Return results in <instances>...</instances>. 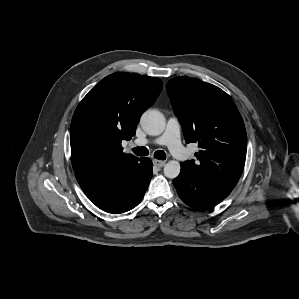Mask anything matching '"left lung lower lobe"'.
Returning <instances> with one entry per match:
<instances>
[{"label":"left lung lower lobe","instance_id":"1","mask_svg":"<svg viewBox=\"0 0 299 299\" xmlns=\"http://www.w3.org/2000/svg\"><path fill=\"white\" fill-rule=\"evenodd\" d=\"M173 184L179 197L196 209L211 208L232 191L231 188L190 173L182 165L180 174L173 180Z\"/></svg>","mask_w":299,"mask_h":299}]
</instances>
